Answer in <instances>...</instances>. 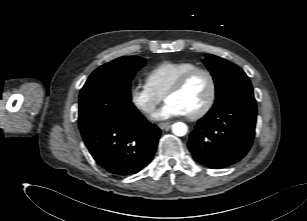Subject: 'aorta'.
<instances>
[{
    "mask_svg": "<svg viewBox=\"0 0 307 221\" xmlns=\"http://www.w3.org/2000/svg\"><path fill=\"white\" fill-rule=\"evenodd\" d=\"M188 131V127L183 122H176L172 125V132L176 136H184Z\"/></svg>",
    "mask_w": 307,
    "mask_h": 221,
    "instance_id": "1",
    "label": "aorta"
}]
</instances>
